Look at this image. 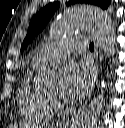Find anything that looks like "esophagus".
<instances>
[{
    "label": "esophagus",
    "instance_id": "34e87169",
    "mask_svg": "<svg viewBox=\"0 0 125 128\" xmlns=\"http://www.w3.org/2000/svg\"><path fill=\"white\" fill-rule=\"evenodd\" d=\"M93 61H94V69H95V78H94V82L91 86V90L89 93V99L92 95V92L94 90L95 87V83L97 81V77H98V72H99V59H98V44L95 41V46H94V53H93ZM87 101L82 105V107L72 116V118L70 120H68L64 126L65 127H70L79 117L82 109H84L85 105H86Z\"/></svg>",
    "mask_w": 125,
    "mask_h": 128
}]
</instances>
